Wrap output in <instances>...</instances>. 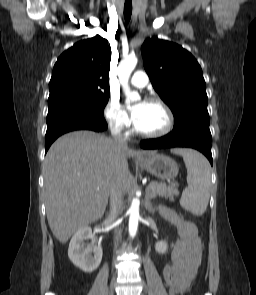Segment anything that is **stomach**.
Masks as SVG:
<instances>
[{"mask_svg":"<svg viewBox=\"0 0 256 295\" xmlns=\"http://www.w3.org/2000/svg\"><path fill=\"white\" fill-rule=\"evenodd\" d=\"M142 168L161 180H170L177 176L179 168L177 163L164 154H148L138 159Z\"/></svg>","mask_w":256,"mask_h":295,"instance_id":"obj_1","label":"stomach"}]
</instances>
